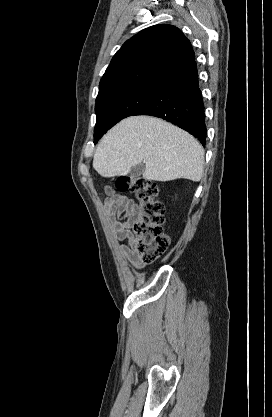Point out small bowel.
Here are the masks:
<instances>
[{
  "label": "small bowel",
  "mask_w": 272,
  "mask_h": 417,
  "mask_svg": "<svg viewBox=\"0 0 272 417\" xmlns=\"http://www.w3.org/2000/svg\"><path fill=\"white\" fill-rule=\"evenodd\" d=\"M103 199V211L112 225L115 238L118 241L127 240V244H120L119 251L133 267L140 269L144 262L135 246V239L130 232V226L136 218L138 207L136 203L124 196L117 194L111 187H105Z\"/></svg>",
  "instance_id": "1"
}]
</instances>
